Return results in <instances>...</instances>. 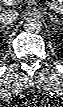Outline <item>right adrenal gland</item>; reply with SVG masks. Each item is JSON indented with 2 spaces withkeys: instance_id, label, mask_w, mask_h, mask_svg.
<instances>
[{
  "instance_id": "2a0ac1e0",
  "label": "right adrenal gland",
  "mask_w": 63,
  "mask_h": 107,
  "mask_svg": "<svg viewBox=\"0 0 63 107\" xmlns=\"http://www.w3.org/2000/svg\"><path fill=\"white\" fill-rule=\"evenodd\" d=\"M10 28H11V27L1 26V27H0V31H2V30H4V31H5V30H9Z\"/></svg>"
}]
</instances>
